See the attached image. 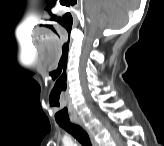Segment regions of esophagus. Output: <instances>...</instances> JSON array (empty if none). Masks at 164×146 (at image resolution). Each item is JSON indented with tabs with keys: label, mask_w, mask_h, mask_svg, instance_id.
Here are the masks:
<instances>
[{
	"label": "esophagus",
	"mask_w": 164,
	"mask_h": 146,
	"mask_svg": "<svg viewBox=\"0 0 164 146\" xmlns=\"http://www.w3.org/2000/svg\"><path fill=\"white\" fill-rule=\"evenodd\" d=\"M72 121H73L74 123L80 125L82 128H84V129L87 130V128H86V126H85V123H84V121H83L81 118H74V119H72ZM89 135H90V138H91V141H92L93 146H96L97 144H96V142L94 141L93 136L91 135V133H89Z\"/></svg>",
	"instance_id": "34e87169"
}]
</instances>
